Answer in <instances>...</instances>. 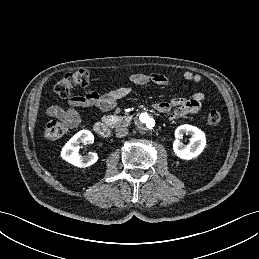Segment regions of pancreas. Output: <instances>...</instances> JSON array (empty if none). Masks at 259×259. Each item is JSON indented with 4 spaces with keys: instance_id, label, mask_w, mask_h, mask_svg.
<instances>
[{
    "instance_id": "1",
    "label": "pancreas",
    "mask_w": 259,
    "mask_h": 259,
    "mask_svg": "<svg viewBox=\"0 0 259 259\" xmlns=\"http://www.w3.org/2000/svg\"><path fill=\"white\" fill-rule=\"evenodd\" d=\"M104 121L109 124V125H112V124H115L116 122H128V120L126 118H122V117H117L115 115H109V116H105L104 117Z\"/></svg>"
}]
</instances>
